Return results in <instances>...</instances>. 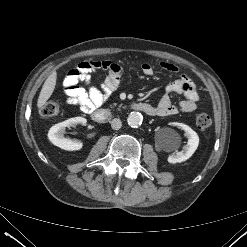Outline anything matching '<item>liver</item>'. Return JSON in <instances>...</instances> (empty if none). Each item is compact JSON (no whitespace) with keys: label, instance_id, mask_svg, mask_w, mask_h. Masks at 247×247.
Returning a JSON list of instances; mask_svg holds the SVG:
<instances>
[{"label":"liver","instance_id":"liver-1","mask_svg":"<svg viewBox=\"0 0 247 247\" xmlns=\"http://www.w3.org/2000/svg\"><path fill=\"white\" fill-rule=\"evenodd\" d=\"M57 73L53 71L44 82L38 97L37 107L41 108L52 95L56 85Z\"/></svg>","mask_w":247,"mask_h":247}]
</instances>
